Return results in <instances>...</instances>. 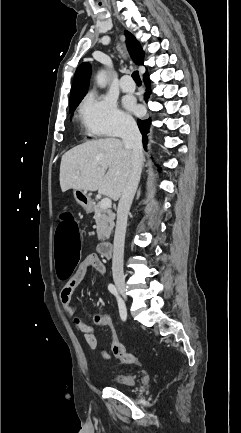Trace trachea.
Instances as JSON below:
<instances>
[{
	"label": "trachea",
	"instance_id": "obj_1",
	"mask_svg": "<svg viewBox=\"0 0 241 433\" xmlns=\"http://www.w3.org/2000/svg\"><path fill=\"white\" fill-rule=\"evenodd\" d=\"M132 78L134 79V81H135L137 84H141V83H142L138 71H134V72L132 73Z\"/></svg>",
	"mask_w": 241,
	"mask_h": 433
}]
</instances>
